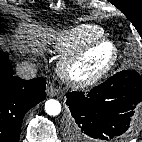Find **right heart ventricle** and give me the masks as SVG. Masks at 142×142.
Returning a JSON list of instances; mask_svg holds the SVG:
<instances>
[{
	"label": "right heart ventricle",
	"instance_id": "obj_1",
	"mask_svg": "<svg viewBox=\"0 0 142 142\" xmlns=\"http://www.w3.org/2000/svg\"><path fill=\"white\" fill-rule=\"evenodd\" d=\"M104 31L95 25L83 24L62 35L55 49L60 55H69L104 37Z\"/></svg>",
	"mask_w": 142,
	"mask_h": 142
}]
</instances>
